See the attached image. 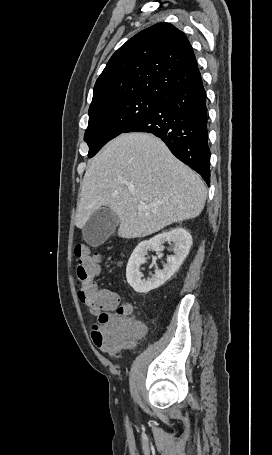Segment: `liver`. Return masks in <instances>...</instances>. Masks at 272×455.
<instances>
[{"instance_id":"1","label":"liver","mask_w":272,"mask_h":455,"mask_svg":"<svg viewBox=\"0 0 272 455\" xmlns=\"http://www.w3.org/2000/svg\"><path fill=\"white\" fill-rule=\"evenodd\" d=\"M80 189L76 226L83 228L96 210L108 207L119 218L118 236L126 239L199 216L207 196L200 176L148 133L110 141L92 159Z\"/></svg>"}]
</instances>
